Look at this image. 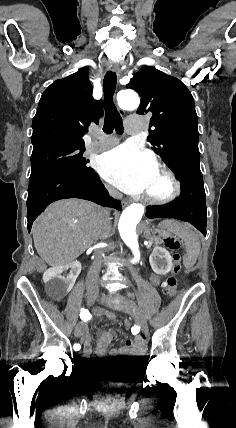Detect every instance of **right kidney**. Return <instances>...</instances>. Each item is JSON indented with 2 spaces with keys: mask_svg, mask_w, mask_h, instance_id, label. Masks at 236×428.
<instances>
[{
  "mask_svg": "<svg viewBox=\"0 0 236 428\" xmlns=\"http://www.w3.org/2000/svg\"><path fill=\"white\" fill-rule=\"evenodd\" d=\"M67 268H71V270H67ZM80 272L81 264L77 260L70 262L68 266H54V268L46 270L43 274L45 282L43 289L45 292H51V301L65 300L66 294L72 290Z\"/></svg>",
  "mask_w": 236,
  "mask_h": 428,
  "instance_id": "1",
  "label": "right kidney"
}]
</instances>
